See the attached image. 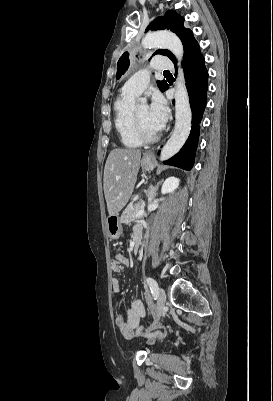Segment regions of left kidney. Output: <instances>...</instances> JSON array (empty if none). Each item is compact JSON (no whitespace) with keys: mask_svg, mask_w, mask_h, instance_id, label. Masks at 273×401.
Returning <instances> with one entry per match:
<instances>
[{"mask_svg":"<svg viewBox=\"0 0 273 401\" xmlns=\"http://www.w3.org/2000/svg\"><path fill=\"white\" fill-rule=\"evenodd\" d=\"M179 182L180 180L179 178H176V176H169V178H166L162 184V194H166V192H173L175 188H178Z\"/></svg>","mask_w":273,"mask_h":401,"instance_id":"obj_1","label":"left kidney"}]
</instances>
